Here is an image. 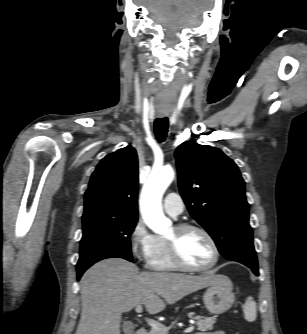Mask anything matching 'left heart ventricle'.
<instances>
[{"mask_svg": "<svg viewBox=\"0 0 307 334\" xmlns=\"http://www.w3.org/2000/svg\"><path fill=\"white\" fill-rule=\"evenodd\" d=\"M167 239L178 242V248L183 259L192 266H205L213 259V250L207 238L198 231H187L179 234L175 228Z\"/></svg>", "mask_w": 307, "mask_h": 334, "instance_id": "obj_1", "label": "left heart ventricle"}]
</instances>
